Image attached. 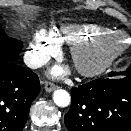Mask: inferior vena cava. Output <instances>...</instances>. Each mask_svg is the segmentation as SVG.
<instances>
[{
	"mask_svg": "<svg viewBox=\"0 0 131 131\" xmlns=\"http://www.w3.org/2000/svg\"><path fill=\"white\" fill-rule=\"evenodd\" d=\"M49 61V58L45 55H35L32 53H27L24 55V63L32 69L42 67L46 65Z\"/></svg>",
	"mask_w": 131,
	"mask_h": 131,
	"instance_id": "602c4592",
	"label": "inferior vena cava"
}]
</instances>
